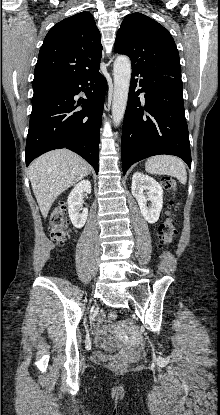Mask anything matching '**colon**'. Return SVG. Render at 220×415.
I'll return each mask as SVG.
<instances>
[{
  "label": "colon",
  "instance_id": "colon-1",
  "mask_svg": "<svg viewBox=\"0 0 220 415\" xmlns=\"http://www.w3.org/2000/svg\"><path fill=\"white\" fill-rule=\"evenodd\" d=\"M162 184L164 188L169 192L176 190V182L172 178H163ZM66 204L61 202L56 206L50 216L49 228L51 238L58 243L65 242L70 235V228L66 219ZM175 213L172 208H169L166 213L164 220L159 225V236L160 243L162 246L169 245L175 235ZM118 317L116 310H110L107 313V319L110 322H114ZM110 366L116 370H124L127 368L128 363L122 359H114L111 361Z\"/></svg>",
  "mask_w": 220,
  "mask_h": 415
}]
</instances>
